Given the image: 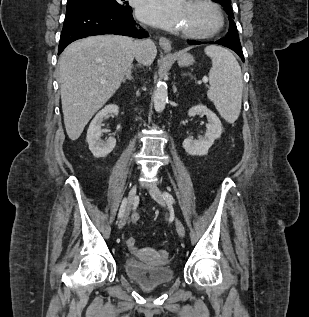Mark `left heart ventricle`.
Listing matches in <instances>:
<instances>
[{"label":"left heart ventricle","mask_w":309,"mask_h":317,"mask_svg":"<svg viewBox=\"0 0 309 317\" xmlns=\"http://www.w3.org/2000/svg\"><path fill=\"white\" fill-rule=\"evenodd\" d=\"M213 24L214 16L207 7L189 2L183 21V31H203L209 29Z\"/></svg>","instance_id":"b2bd125f"}]
</instances>
